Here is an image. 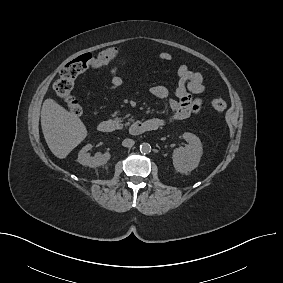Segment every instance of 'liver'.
<instances>
[{
  "instance_id": "1",
  "label": "liver",
  "mask_w": 283,
  "mask_h": 283,
  "mask_svg": "<svg viewBox=\"0 0 283 283\" xmlns=\"http://www.w3.org/2000/svg\"><path fill=\"white\" fill-rule=\"evenodd\" d=\"M41 126L49 149L60 159L66 158L87 136L81 119L51 98L43 103Z\"/></svg>"
}]
</instances>
